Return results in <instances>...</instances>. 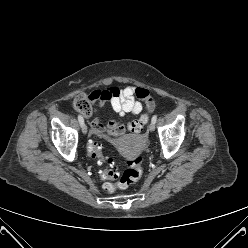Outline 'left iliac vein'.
I'll list each match as a JSON object with an SVG mask.
<instances>
[{"label":"left iliac vein","instance_id":"left-iliac-vein-1","mask_svg":"<svg viewBox=\"0 0 248 248\" xmlns=\"http://www.w3.org/2000/svg\"><path fill=\"white\" fill-rule=\"evenodd\" d=\"M149 130H150L151 132H153V131L155 130V123L151 122V123L149 124Z\"/></svg>","mask_w":248,"mask_h":248}]
</instances>
